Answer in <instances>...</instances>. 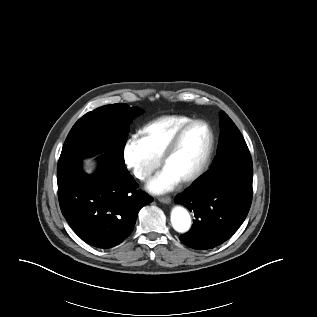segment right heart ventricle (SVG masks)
<instances>
[{
  "instance_id": "1",
  "label": "right heart ventricle",
  "mask_w": 317,
  "mask_h": 317,
  "mask_svg": "<svg viewBox=\"0 0 317 317\" xmlns=\"http://www.w3.org/2000/svg\"><path fill=\"white\" fill-rule=\"evenodd\" d=\"M191 120L190 117L185 115L160 117L140 130L142 140L155 157L162 159L177 131Z\"/></svg>"
}]
</instances>
